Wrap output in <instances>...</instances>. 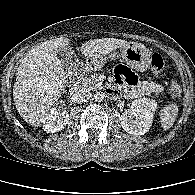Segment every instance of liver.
Returning a JSON list of instances; mask_svg holds the SVG:
<instances>
[{
  "label": "liver",
  "instance_id": "liver-1",
  "mask_svg": "<svg viewBox=\"0 0 195 195\" xmlns=\"http://www.w3.org/2000/svg\"><path fill=\"white\" fill-rule=\"evenodd\" d=\"M69 43L63 37L43 42L31 49L17 69L14 104L24 121L31 125L43 123L65 91L66 72L57 50L68 47ZM128 44L116 38L93 39L82 44L81 52L89 58H104Z\"/></svg>",
  "mask_w": 195,
  "mask_h": 195
}]
</instances>
